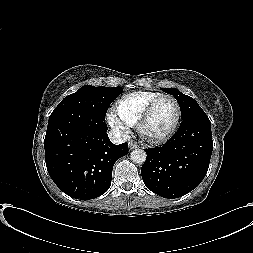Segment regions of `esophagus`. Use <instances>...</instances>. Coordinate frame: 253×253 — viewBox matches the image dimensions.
Returning a JSON list of instances; mask_svg holds the SVG:
<instances>
[{"instance_id":"obj_1","label":"esophagus","mask_w":253,"mask_h":253,"mask_svg":"<svg viewBox=\"0 0 253 253\" xmlns=\"http://www.w3.org/2000/svg\"><path fill=\"white\" fill-rule=\"evenodd\" d=\"M139 146L134 142V141H130L129 142V149L130 150H133V149H136L138 148Z\"/></svg>"}]
</instances>
